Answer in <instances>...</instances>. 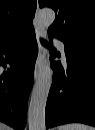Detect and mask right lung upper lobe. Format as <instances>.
<instances>
[{
    "instance_id": "obj_1",
    "label": "right lung upper lobe",
    "mask_w": 95,
    "mask_h": 130,
    "mask_svg": "<svg viewBox=\"0 0 95 130\" xmlns=\"http://www.w3.org/2000/svg\"><path fill=\"white\" fill-rule=\"evenodd\" d=\"M36 0H0V46L33 30Z\"/></svg>"
}]
</instances>
